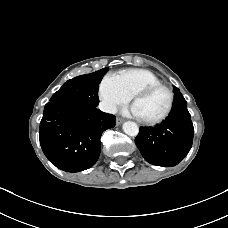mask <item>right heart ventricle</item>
Wrapping results in <instances>:
<instances>
[{
  "label": "right heart ventricle",
  "instance_id": "right-heart-ventricle-1",
  "mask_svg": "<svg viewBox=\"0 0 228 228\" xmlns=\"http://www.w3.org/2000/svg\"><path fill=\"white\" fill-rule=\"evenodd\" d=\"M117 76L126 92L132 97L141 88L159 84L161 80L150 70L143 68H129L120 71Z\"/></svg>",
  "mask_w": 228,
  "mask_h": 228
}]
</instances>
